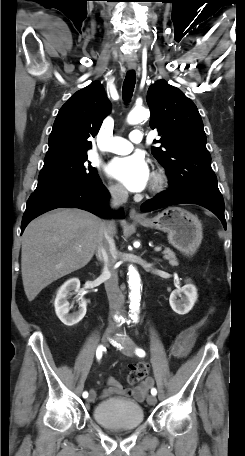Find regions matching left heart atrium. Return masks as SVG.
<instances>
[{"mask_svg":"<svg viewBox=\"0 0 245 456\" xmlns=\"http://www.w3.org/2000/svg\"><path fill=\"white\" fill-rule=\"evenodd\" d=\"M106 171L110 177L118 180L132 192L142 191L150 180L148 164L139 153L114 158Z\"/></svg>","mask_w":245,"mask_h":456,"instance_id":"39dd6f15","label":"left heart atrium"}]
</instances>
